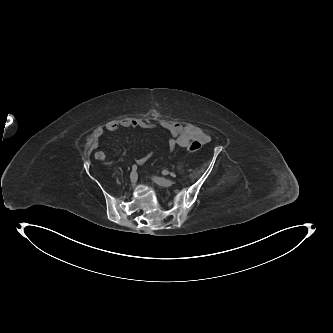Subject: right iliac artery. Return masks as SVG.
<instances>
[{"mask_svg": "<svg viewBox=\"0 0 333 333\" xmlns=\"http://www.w3.org/2000/svg\"><path fill=\"white\" fill-rule=\"evenodd\" d=\"M132 170L136 172V170H137V165L134 164V165L132 166Z\"/></svg>", "mask_w": 333, "mask_h": 333, "instance_id": "obj_1", "label": "right iliac artery"}]
</instances>
